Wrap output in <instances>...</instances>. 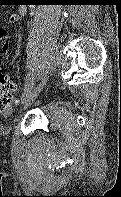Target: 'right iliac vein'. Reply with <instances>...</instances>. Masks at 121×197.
I'll list each match as a JSON object with an SVG mask.
<instances>
[{"instance_id":"63e3f726","label":"right iliac vein","mask_w":121,"mask_h":197,"mask_svg":"<svg viewBox=\"0 0 121 197\" xmlns=\"http://www.w3.org/2000/svg\"><path fill=\"white\" fill-rule=\"evenodd\" d=\"M44 85H45V82L43 81L42 83H40L39 85H37L35 87V89L33 90V92L30 93L28 95V97H26L23 100V108L24 109H26L28 106H30L35 101V99L38 97V95L40 94V92L43 90Z\"/></svg>"}]
</instances>
